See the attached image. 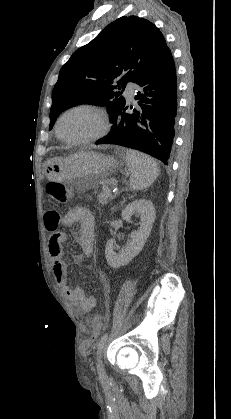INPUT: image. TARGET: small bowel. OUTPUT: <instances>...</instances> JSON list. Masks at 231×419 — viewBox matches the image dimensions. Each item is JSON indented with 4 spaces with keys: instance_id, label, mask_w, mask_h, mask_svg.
<instances>
[{
    "instance_id": "small-bowel-1",
    "label": "small bowel",
    "mask_w": 231,
    "mask_h": 419,
    "mask_svg": "<svg viewBox=\"0 0 231 419\" xmlns=\"http://www.w3.org/2000/svg\"><path fill=\"white\" fill-rule=\"evenodd\" d=\"M44 224L52 232L48 249L54 278L78 314L86 315L96 307L97 299L87 295L80 287L69 286L67 265L63 259V243L66 240V235L61 231H57V228L60 225L69 227L74 224H79L76 242L81 247L84 255L87 256L93 251L94 216L86 208L75 207L70 209L62 217L57 213H47L44 216ZM81 259L78 258L77 260L80 261ZM106 289H108L107 286Z\"/></svg>"
}]
</instances>
